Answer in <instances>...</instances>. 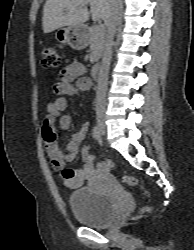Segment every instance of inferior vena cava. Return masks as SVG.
Masks as SVG:
<instances>
[{
	"instance_id": "obj_1",
	"label": "inferior vena cava",
	"mask_w": 194,
	"mask_h": 250,
	"mask_svg": "<svg viewBox=\"0 0 194 250\" xmlns=\"http://www.w3.org/2000/svg\"><path fill=\"white\" fill-rule=\"evenodd\" d=\"M107 34L104 44L102 63L99 70L98 85L96 91V118L103 120L106 110V92L108 85V74L112 58L113 40L118 25V2L112 0L109 15L105 21Z\"/></svg>"
}]
</instances>
